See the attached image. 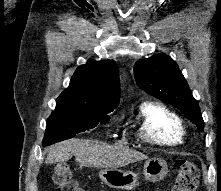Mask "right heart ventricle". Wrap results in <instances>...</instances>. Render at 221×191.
<instances>
[{"label": "right heart ventricle", "instance_id": "e07e8e85", "mask_svg": "<svg viewBox=\"0 0 221 191\" xmlns=\"http://www.w3.org/2000/svg\"><path fill=\"white\" fill-rule=\"evenodd\" d=\"M138 134L146 142L157 145H179L186 138L182 118L167 105L147 101L138 110Z\"/></svg>", "mask_w": 221, "mask_h": 191}]
</instances>
